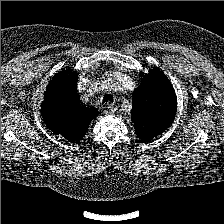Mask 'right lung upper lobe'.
I'll return each instance as SVG.
<instances>
[{
  "label": "right lung upper lobe",
  "mask_w": 224,
  "mask_h": 224,
  "mask_svg": "<svg viewBox=\"0 0 224 224\" xmlns=\"http://www.w3.org/2000/svg\"><path fill=\"white\" fill-rule=\"evenodd\" d=\"M75 72L60 71L49 82L42 106L46 126L56 135L78 143L97 116L95 109L79 102Z\"/></svg>",
  "instance_id": "obj_1"
}]
</instances>
